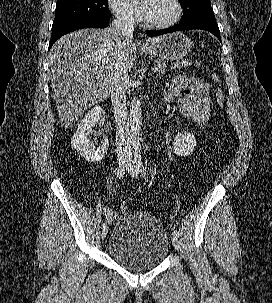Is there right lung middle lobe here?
<instances>
[{
	"label": "right lung middle lobe",
	"instance_id": "dd1d6c3e",
	"mask_svg": "<svg viewBox=\"0 0 272 303\" xmlns=\"http://www.w3.org/2000/svg\"><path fill=\"white\" fill-rule=\"evenodd\" d=\"M80 18L110 19L107 0H57L52 26Z\"/></svg>",
	"mask_w": 272,
	"mask_h": 303
}]
</instances>
